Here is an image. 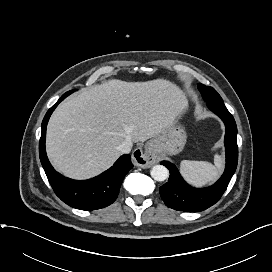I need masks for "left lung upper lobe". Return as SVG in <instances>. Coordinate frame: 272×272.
<instances>
[{
	"label": "left lung upper lobe",
	"mask_w": 272,
	"mask_h": 272,
	"mask_svg": "<svg viewBox=\"0 0 272 272\" xmlns=\"http://www.w3.org/2000/svg\"><path fill=\"white\" fill-rule=\"evenodd\" d=\"M198 89L201 92L204 100L206 101L207 105L214 102H221L223 100L221 96L216 92V90L212 87H207L203 84H198Z\"/></svg>",
	"instance_id": "obj_1"
}]
</instances>
